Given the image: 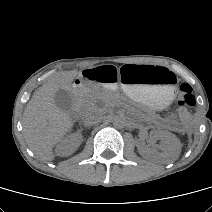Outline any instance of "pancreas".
<instances>
[{"label": "pancreas", "mask_w": 212, "mask_h": 212, "mask_svg": "<svg viewBox=\"0 0 212 212\" xmlns=\"http://www.w3.org/2000/svg\"><path fill=\"white\" fill-rule=\"evenodd\" d=\"M97 99H101L105 103L104 109H109L123 103L116 94H99L93 92L81 99L82 107L86 110L92 108ZM132 111L140 121L147 117L140 109L132 108Z\"/></svg>", "instance_id": "obj_1"}]
</instances>
